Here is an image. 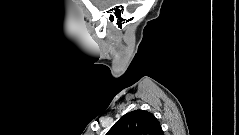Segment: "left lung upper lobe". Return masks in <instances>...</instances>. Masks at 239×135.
<instances>
[{
  "mask_svg": "<svg viewBox=\"0 0 239 135\" xmlns=\"http://www.w3.org/2000/svg\"><path fill=\"white\" fill-rule=\"evenodd\" d=\"M107 135H163V131L152 113L134 110L122 116Z\"/></svg>",
  "mask_w": 239,
  "mask_h": 135,
  "instance_id": "obj_1",
  "label": "left lung upper lobe"
}]
</instances>
